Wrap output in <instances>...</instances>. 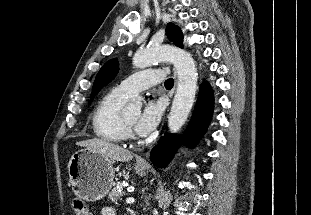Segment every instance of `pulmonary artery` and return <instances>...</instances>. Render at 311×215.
Masks as SVG:
<instances>
[{"instance_id": "e3ab8cb5", "label": "pulmonary artery", "mask_w": 311, "mask_h": 215, "mask_svg": "<svg viewBox=\"0 0 311 215\" xmlns=\"http://www.w3.org/2000/svg\"><path fill=\"white\" fill-rule=\"evenodd\" d=\"M163 76L164 73L160 69L142 70L123 79L117 85V88L126 95L133 96L140 91L160 83Z\"/></svg>"}]
</instances>
